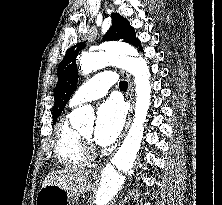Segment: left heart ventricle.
<instances>
[{
	"label": "left heart ventricle",
	"mask_w": 222,
	"mask_h": 205,
	"mask_svg": "<svg viewBox=\"0 0 222 205\" xmlns=\"http://www.w3.org/2000/svg\"><path fill=\"white\" fill-rule=\"evenodd\" d=\"M81 133L85 136L91 137V135L93 133V125L88 126L84 130H82Z\"/></svg>",
	"instance_id": "left-heart-ventricle-1"
}]
</instances>
